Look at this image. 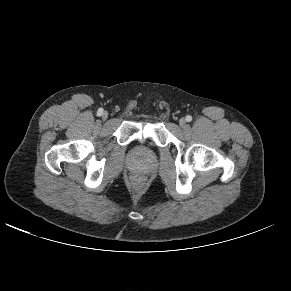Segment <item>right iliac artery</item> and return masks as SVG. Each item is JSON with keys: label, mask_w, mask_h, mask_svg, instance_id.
<instances>
[{"label": "right iliac artery", "mask_w": 291, "mask_h": 291, "mask_svg": "<svg viewBox=\"0 0 291 291\" xmlns=\"http://www.w3.org/2000/svg\"><path fill=\"white\" fill-rule=\"evenodd\" d=\"M102 113H103V109H102V108H100V109L98 110V112H97V115H98V116H101V115H102Z\"/></svg>", "instance_id": "obj_1"}]
</instances>
